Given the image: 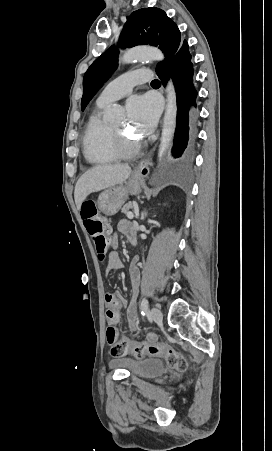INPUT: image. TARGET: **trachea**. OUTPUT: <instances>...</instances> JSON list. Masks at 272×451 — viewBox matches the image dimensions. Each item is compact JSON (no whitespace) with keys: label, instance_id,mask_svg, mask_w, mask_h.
I'll use <instances>...</instances> for the list:
<instances>
[{"label":"trachea","instance_id":"obj_1","mask_svg":"<svg viewBox=\"0 0 272 451\" xmlns=\"http://www.w3.org/2000/svg\"><path fill=\"white\" fill-rule=\"evenodd\" d=\"M160 82H159V80H153L152 82H151V84H159Z\"/></svg>","mask_w":272,"mask_h":451}]
</instances>
